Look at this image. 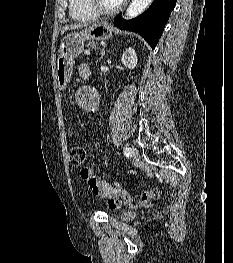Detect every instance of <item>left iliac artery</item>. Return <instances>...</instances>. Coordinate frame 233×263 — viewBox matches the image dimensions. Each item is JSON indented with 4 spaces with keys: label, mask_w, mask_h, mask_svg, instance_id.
<instances>
[{
    "label": "left iliac artery",
    "mask_w": 233,
    "mask_h": 263,
    "mask_svg": "<svg viewBox=\"0 0 233 263\" xmlns=\"http://www.w3.org/2000/svg\"><path fill=\"white\" fill-rule=\"evenodd\" d=\"M131 153H132L131 148H129V147L124 148V154H125L126 156H130Z\"/></svg>",
    "instance_id": "obj_1"
}]
</instances>
